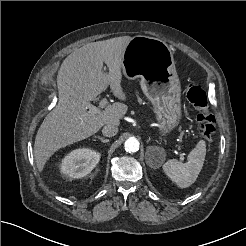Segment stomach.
<instances>
[{
	"instance_id": "obj_1",
	"label": "stomach",
	"mask_w": 246,
	"mask_h": 246,
	"mask_svg": "<svg viewBox=\"0 0 246 246\" xmlns=\"http://www.w3.org/2000/svg\"><path fill=\"white\" fill-rule=\"evenodd\" d=\"M122 70L128 79H141V89L153 106L162 134L177 127L181 85L170 46L158 38L135 36L125 48Z\"/></svg>"
}]
</instances>
